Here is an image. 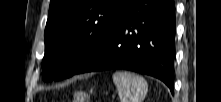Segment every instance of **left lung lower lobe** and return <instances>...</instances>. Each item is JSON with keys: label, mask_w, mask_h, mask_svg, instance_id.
Returning a JSON list of instances; mask_svg holds the SVG:
<instances>
[{"label": "left lung lower lobe", "mask_w": 221, "mask_h": 102, "mask_svg": "<svg viewBox=\"0 0 221 102\" xmlns=\"http://www.w3.org/2000/svg\"><path fill=\"white\" fill-rule=\"evenodd\" d=\"M173 0H128L112 31L75 73L126 69L156 77L173 92Z\"/></svg>", "instance_id": "obj_1"}]
</instances>
